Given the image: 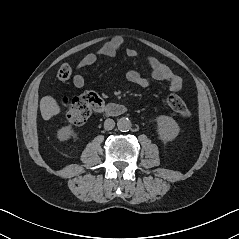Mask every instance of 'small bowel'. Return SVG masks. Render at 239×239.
I'll return each instance as SVG.
<instances>
[{"mask_svg": "<svg viewBox=\"0 0 239 239\" xmlns=\"http://www.w3.org/2000/svg\"><path fill=\"white\" fill-rule=\"evenodd\" d=\"M123 45L121 38H114L111 42L101 46L96 52L85 55L76 65V69L91 66L96 63L99 56L114 57L117 55ZM126 54L130 58L138 57V52L135 49L128 48ZM145 63L148 66L151 76L157 81H166L169 83V88L172 92H179L183 87V82L180 76L172 72L167 66L162 64L158 59L152 56L145 58ZM129 82L140 87H147L149 82L138 71L131 70L127 73ZM73 85L76 88H83L85 79L82 75L77 74L73 78Z\"/></svg>", "mask_w": 239, "mask_h": 239, "instance_id": "obj_1", "label": "small bowel"}]
</instances>
